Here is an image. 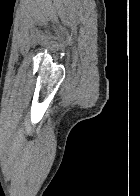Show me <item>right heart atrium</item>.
I'll return each instance as SVG.
<instances>
[{"label": "right heart atrium", "mask_w": 140, "mask_h": 196, "mask_svg": "<svg viewBox=\"0 0 140 196\" xmlns=\"http://www.w3.org/2000/svg\"><path fill=\"white\" fill-rule=\"evenodd\" d=\"M8 192H18V191H8ZM25 192H37V191H25Z\"/></svg>", "instance_id": "right-heart-atrium-1"}]
</instances>
